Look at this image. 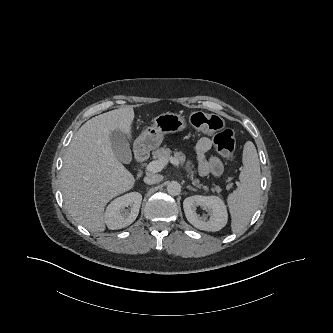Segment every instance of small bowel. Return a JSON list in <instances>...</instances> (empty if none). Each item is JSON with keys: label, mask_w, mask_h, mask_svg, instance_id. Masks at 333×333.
I'll use <instances>...</instances> for the list:
<instances>
[{"label": "small bowel", "mask_w": 333, "mask_h": 333, "mask_svg": "<svg viewBox=\"0 0 333 333\" xmlns=\"http://www.w3.org/2000/svg\"><path fill=\"white\" fill-rule=\"evenodd\" d=\"M212 142L208 137H202L197 142L194 151L195 158L198 165V173L201 176H220L223 172L221 161L217 157L207 158V153L211 149Z\"/></svg>", "instance_id": "1"}]
</instances>
